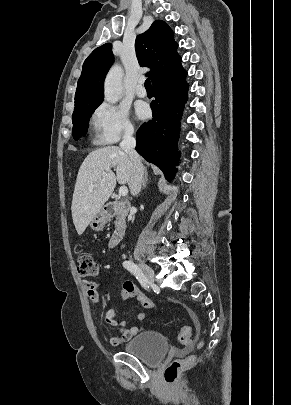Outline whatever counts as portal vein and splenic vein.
I'll list each match as a JSON object with an SVG mask.
<instances>
[{
	"label": "portal vein and splenic vein",
	"instance_id": "portal-vein-and-splenic-vein-1",
	"mask_svg": "<svg viewBox=\"0 0 291 405\" xmlns=\"http://www.w3.org/2000/svg\"><path fill=\"white\" fill-rule=\"evenodd\" d=\"M106 174V173H104ZM128 194V189L126 186H121L119 189V195L126 196Z\"/></svg>",
	"mask_w": 291,
	"mask_h": 405
}]
</instances>
